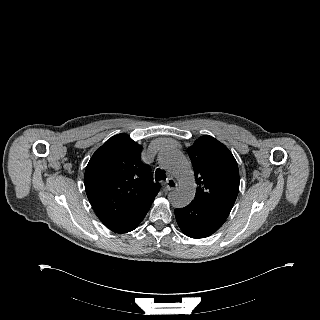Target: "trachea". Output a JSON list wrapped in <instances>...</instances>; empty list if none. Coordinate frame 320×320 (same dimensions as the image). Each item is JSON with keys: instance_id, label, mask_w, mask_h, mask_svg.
<instances>
[{"instance_id": "3493384b", "label": "trachea", "mask_w": 320, "mask_h": 320, "mask_svg": "<svg viewBox=\"0 0 320 320\" xmlns=\"http://www.w3.org/2000/svg\"><path fill=\"white\" fill-rule=\"evenodd\" d=\"M165 179H166V174H165V172H164L162 169H160V168L156 169V172H155V180H156V181H160V180H165Z\"/></svg>"}]
</instances>
